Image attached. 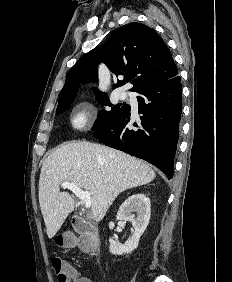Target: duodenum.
Masks as SVG:
<instances>
[{
  "instance_id": "1",
  "label": "duodenum",
  "mask_w": 232,
  "mask_h": 282,
  "mask_svg": "<svg viewBox=\"0 0 232 282\" xmlns=\"http://www.w3.org/2000/svg\"><path fill=\"white\" fill-rule=\"evenodd\" d=\"M72 224L79 234L87 237L91 249L97 253L100 249V239L97 229L80 216H74Z\"/></svg>"
}]
</instances>
